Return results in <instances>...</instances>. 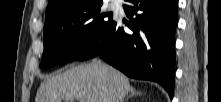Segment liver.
I'll use <instances>...</instances> for the list:
<instances>
[{"instance_id":"1","label":"liver","mask_w":221,"mask_h":102,"mask_svg":"<svg viewBox=\"0 0 221 102\" xmlns=\"http://www.w3.org/2000/svg\"><path fill=\"white\" fill-rule=\"evenodd\" d=\"M128 78L118 70L93 62L72 67L43 81L36 102H123L130 90Z\"/></svg>"}]
</instances>
